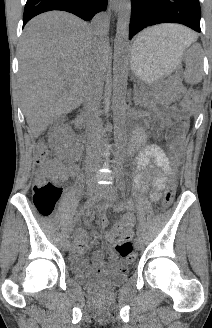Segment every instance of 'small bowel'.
Masks as SVG:
<instances>
[{
    "label": "small bowel",
    "instance_id": "1",
    "mask_svg": "<svg viewBox=\"0 0 212 328\" xmlns=\"http://www.w3.org/2000/svg\"><path fill=\"white\" fill-rule=\"evenodd\" d=\"M150 164L153 165L152 169L149 168ZM135 168L137 171L135 178L136 188L145 189L151 183L153 186L151 199L153 201L159 200L160 193L167 183V176L174 173V168L167 155L158 146H148L138 156ZM50 169L51 177L54 179L62 180L67 177H80V171L74 164L63 165L60 161L53 160L50 164ZM133 222L134 215L132 213L123 214L115 226L106 232L103 247L108 249L109 245L113 244L118 238L130 239L133 234L131 229ZM99 223L101 227H107L108 225L104 212L100 216ZM90 246L87 232L79 229L72 249L73 257H83L90 250ZM90 267L99 274L124 270L118 256L113 252H110L108 263H105L102 251L93 254Z\"/></svg>",
    "mask_w": 212,
    "mask_h": 328
}]
</instances>
